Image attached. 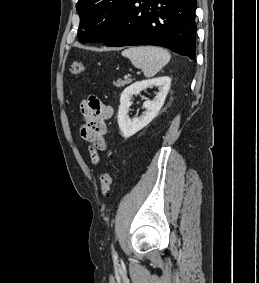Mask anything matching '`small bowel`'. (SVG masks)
Masks as SVG:
<instances>
[{"label": "small bowel", "mask_w": 259, "mask_h": 283, "mask_svg": "<svg viewBox=\"0 0 259 283\" xmlns=\"http://www.w3.org/2000/svg\"><path fill=\"white\" fill-rule=\"evenodd\" d=\"M113 115L110 105L92 96L80 104L82 125L80 135L90 145L91 159L94 164L99 162V152L106 150V121Z\"/></svg>", "instance_id": "small-bowel-1"}]
</instances>
